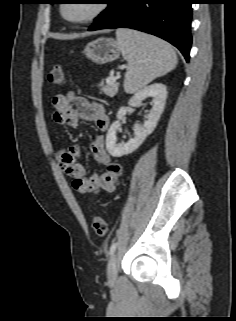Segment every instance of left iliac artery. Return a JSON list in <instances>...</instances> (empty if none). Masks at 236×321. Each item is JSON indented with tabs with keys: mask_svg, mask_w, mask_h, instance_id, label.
I'll list each match as a JSON object with an SVG mask.
<instances>
[{
	"mask_svg": "<svg viewBox=\"0 0 236 321\" xmlns=\"http://www.w3.org/2000/svg\"><path fill=\"white\" fill-rule=\"evenodd\" d=\"M117 247V243L114 242L111 246H110V250H109V254L112 255L114 253V251L116 250Z\"/></svg>",
	"mask_w": 236,
	"mask_h": 321,
	"instance_id": "left-iliac-artery-1",
	"label": "left iliac artery"
}]
</instances>
